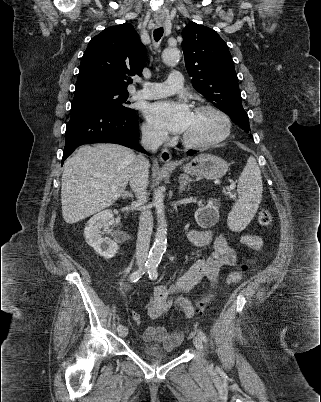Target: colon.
<instances>
[{"label": "colon", "mask_w": 321, "mask_h": 402, "mask_svg": "<svg viewBox=\"0 0 321 402\" xmlns=\"http://www.w3.org/2000/svg\"><path fill=\"white\" fill-rule=\"evenodd\" d=\"M258 222L261 226L263 227H267L272 223V214L268 209H263L259 212L258 215ZM248 269V265L246 263H243L240 265L239 267V271L240 272H245ZM214 294L210 293L204 297H202L201 299H199L196 304H195V308L194 310L196 311H200L203 310L212 300ZM133 319L135 322L139 323L140 322V317L138 314H133Z\"/></svg>", "instance_id": "5ec220e1"}]
</instances>
